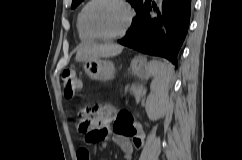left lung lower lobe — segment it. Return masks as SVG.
<instances>
[{
	"instance_id": "0a47b994",
	"label": "left lung lower lobe",
	"mask_w": 242,
	"mask_h": 160,
	"mask_svg": "<svg viewBox=\"0 0 242 160\" xmlns=\"http://www.w3.org/2000/svg\"><path fill=\"white\" fill-rule=\"evenodd\" d=\"M192 0H146L126 36L118 42L145 54L168 59L176 67L177 55L188 32Z\"/></svg>"
}]
</instances>
